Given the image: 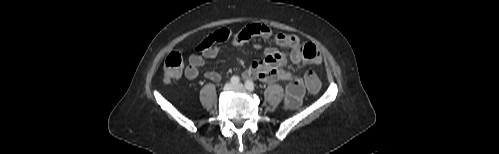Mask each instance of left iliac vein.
Listing matches in <instances>:
<instances>
[{"label":"left iliac vein","mask_w":499,"mask_h":154,"mask_svg":"<svg viewBox=\"0 0 499 154\" xmlns=\"http://www.w3.org/2000/svg\"><path fill=\"white\" fill-rule=\"evenodd\" d=\"M234 89H236V90H245V87H244L243 84H237V85H235Z\"/></svg>","instance_id":"obj_1"}]
</instances>
